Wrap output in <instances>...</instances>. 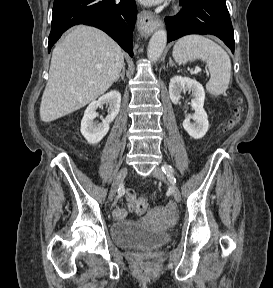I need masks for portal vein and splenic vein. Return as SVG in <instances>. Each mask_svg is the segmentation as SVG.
<instances>
[{
	"label": "portal vein and splenic vein",
	"mask_w": 273,
	"mask_h": 288,
	"mask_svg": "<svg viewBox=\"0 0 273 288\" xmlns=\"http://www.w3.org/2000/svg\"><path fill=\"white\" fill-rule=\"evenodd\" d=\"M198 71H200V68H196V69L194 70V73H197Z\"/></svg>",
	"instance_id": "obj_1"
}]
</instances>
